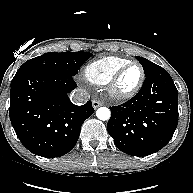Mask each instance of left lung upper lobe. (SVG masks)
I'll return each mask as SVG.
<instances>
[{
    "instance_id": "5c2ea615",
    "label": "left lung upper lobe",
    "mask_w": 193,
    "mask_h": 193,
    "mask_svg": "<svg viewBox=\"0 0 193 193\" xmlns=\"http://www.w3.org/2000/svg\"><path fill=\"white\" fill-rule=\"evenodd\" d=\"M135 57L140 62V64L142 65V67L144 69L145 76H147L148 74H150L156 68L159 67L155 63H153V62H151V61H149V60H147L145 58H142V57H139V56H135Z\"/></svg>"
}]
</instances>
